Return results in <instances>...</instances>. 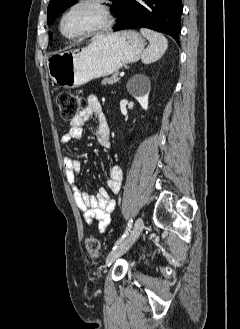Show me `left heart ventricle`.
Instances as JSON below:
<instances>
[{
	"mask_svg": "<svg viewBox=\"0 0 240 329\" xmlns=\"http://www.w3.org/2000/svg\"><path fill=\"white\" fill-rule=\"evenodd\" d=\"M102 21L100 10L92 5L75 8L64 20L63 30L66 34H75L91 28Z\"/></svg>",
	"mask_w": 240,
	"mask_h": 329,
	"instance_id": "obj_1",
	"label": "left heart ventricle"
}]
</instances>
